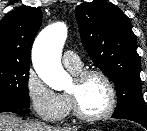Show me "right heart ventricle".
I'll use <instances>...</instances> for the list:
<instances>
[{"label":"right heart ventricle","instance_id":"obj_1","mask_svg":"<svg viewBox=\"0 0 147 131\" xmlns=\"http://www.w3.org/2000/svg\"><path fill=\"white\" fill-rule=\"evenodd\" d=\"M72 73H74V74H76V73H78L79 71H81V70H78V71H72V70H70ZM64 97H65V99H66V101H67V103H68V112L70 111V109H71V104H70V100H69V98H68V95L67 94H62ZM67 112V113H68Z\"/></svg>","mask_w":147,"mask_h":131}]
</instances>
